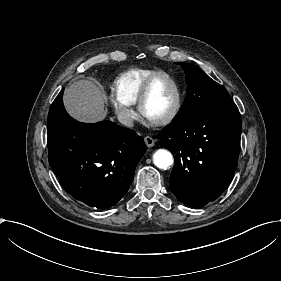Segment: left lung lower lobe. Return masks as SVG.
Listing matches in <instances>:
<instances>
[{
    "label": "left lung lower lobe",
    "mask_w": 281,
    "mask_h": 281,
    "mask_svg": "<svg viewBox=\"0 0 281 281\" xmlns=\"http://www.w3.org/2000/svg\"><path fill=\"white\" fill-rule=\"evenodd\" d=\"M241 118L236 105L173 121L159 134L174 155L170 188L187 206L201 208L229 185L240 151Z\"/></svg>",
    "instance_id": "1"
}]
</instances>
